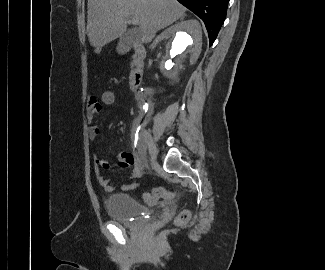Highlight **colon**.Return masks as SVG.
Listing matches in <instances>:
<instances>
[{
	"label": "colon",
	"instance_id": "colon-1",
	"mask_svg": "<svg viewBox=\"0 0 325 270\" xmlns=\"http://www.w3.org/2000/svg\"><path fill=\"white\" fill-rule=\"evenodd\" d=\"M116 97L113 91L111 90H105L101 94V102L105 106H111L115 103ZM172 196V193L163 188V187H157L154 188L152 191L145 193L144 198L148 202H155L160 199H166ZM190 218V212L188 210H183L179 213V215L175 219L176 225H184L188 222Z\"/></svg>",
	"mask_w": 325,
	"mask_h": 270
}]
</instances>
